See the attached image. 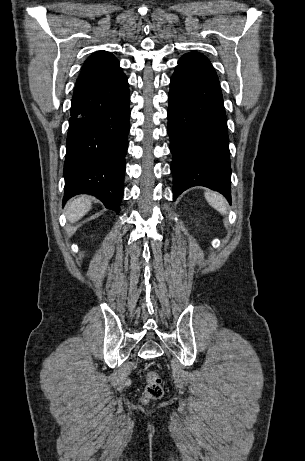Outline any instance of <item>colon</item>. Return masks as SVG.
Masks as SVG:
<instances>
[{"label": "colon", "mask_w": 305, "mask_h": 461, "mask_svg": "<svg viewBox=\"0 0 305 461\" xmlns=\"http://www.w3.org/2000/svg\"><path fill=\"white\" fill-rule=\"evenodd\" d=\"M146 386L143 393L144 401L157 400L163 395L162 379L158 372L148 371L145 375Z\"/></svg>", "instance_id": "obj_1"}]
</instances>
